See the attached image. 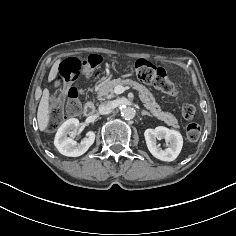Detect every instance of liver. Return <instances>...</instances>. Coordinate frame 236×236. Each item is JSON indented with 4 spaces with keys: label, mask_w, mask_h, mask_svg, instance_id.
<instances>
[{
    "label": "liver",
    "mask_w": 236,
    "mask_h": 236,
    "mask_svg": "<svg viewBox=\"0 0 236 236\" xmlns=\"http://www.w3.org/2000/svg\"><path fill=\"white\" fill-rule=\"evenodd\" d=\"M60 62L61 60L59 59L53 64L50 70L49 76H48L49 82L53 81L57 77L58 67H59ZM49 95H50L49 90L45 88L43 90V95L40 100V103L38 106V112H37V121H38V127L40 131H44L49 124V120H50Z\"/></svg>",
    "instance_id": "obj_1"
}]
</instances>
